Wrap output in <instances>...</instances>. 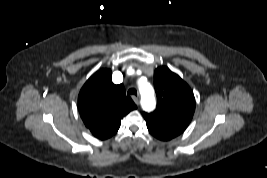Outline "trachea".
<instances>
[{"mask_svg":"<svg viewBox=\"0 0 267 178\" xmlns=\"http://www.w3.org/2000/svg\"><path fill=\"white\" fill-rule=\"evenodd\" d=\"M127 95L129 96V95H135V96H137V91L135 90V89H129L128 90V92H127Z\"/></svg>","mask_w":267,"mask_h":178,"instance_id":"1","label":"trachea"}]
</instances>
